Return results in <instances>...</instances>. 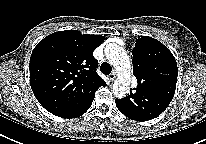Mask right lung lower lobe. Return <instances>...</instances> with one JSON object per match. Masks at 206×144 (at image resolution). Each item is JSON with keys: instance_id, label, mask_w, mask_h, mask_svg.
I'll return each mask as SVG.
<instances>
[{"instance_id": "98d812e1", "label": "right lung lower lobe", "mask_w": 206, "mask_h": 144, "mask_svg": "<svg viewBox=\"0 0 206 144\" xmlns=\"http://www.w3.org/2000/svg\"><path fill=\"white\" fill-rule=\"evenodd\" d=\"M95 96V95H94ZM94 96H92L84 105H82L80 108L70 112L68 115H66L63 118H75L78 116H81L83 113H85L91 106L92 101L94 99Z\"/></svg>"}]
</instances>
